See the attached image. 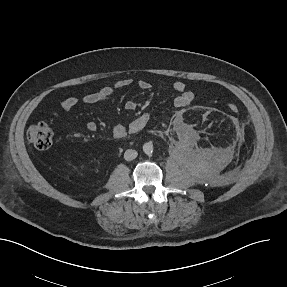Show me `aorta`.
Instances as JSON below:
<instances>
[{"instance_id":"aorta-1","label":"aorta","mask_w":287,"mask_h":287,"mask_svg":"<svg viewBox=\"0 0 287 287\" xmlns=\"http://www.w3.org/2000/svg\"><path fill=\"white\" fill-rule=\"evenodd\" d=\"M143 151L145 154L150 155L153 152V144L151 142H147L143 145Z\"/></svg>"}]
</instances>
